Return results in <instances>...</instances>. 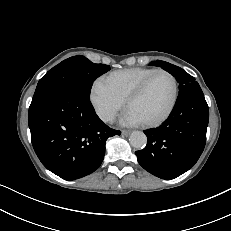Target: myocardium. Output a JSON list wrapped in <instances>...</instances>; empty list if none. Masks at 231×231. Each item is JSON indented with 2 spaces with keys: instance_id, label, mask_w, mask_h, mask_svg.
I'll return each instance as SVG.
<instances>
[{
  "instance_id": "obj_1",
  "label": "myocardium",
  "mask_w": 231,
  "mask_h": 231,
  "mask_svg": "<svg viewBox=\"0 0 231 231\" xmlns=\"http://www.w3.org/2000/svg\"><path fill=\"white\" fill-rule=\"evenodd\" d=\"M158 73H164L167 76H169L173 82V97L171 100V103L166 110V112L160 116L159 118L152 120V121H146V122H141V124L145 127H157L164 123L173 113L177 101H178V96H179V85L176 77L169 71L165 69H155L153 70L149 75H147L136 87L135 89L128 95V97L125 100V107L126 109L129 108L130 104L136 100L145 90L147 84L149 81L152 79V77Z\"/></svg>"
}]
</instances>
